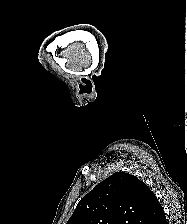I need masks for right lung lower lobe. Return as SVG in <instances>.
<instances>
[{
    "instance_id": "1",
    "label": "right lung lower lobe",
    "mask_w": 187,
    "mask_h": 224,
    "mask_svg": "<svg viewBox=\"0 0 187 224\" xmlns=\"http://www.w3.org/2000/svg\"><path fill=\"white\" fill-rule=\"evenodd\" d=\"M163 224H168V223H167V220H165V221L163 222Z\"/></svg>"
}]
</instances>
